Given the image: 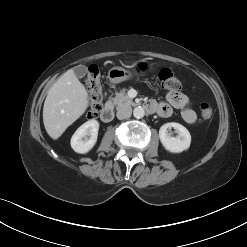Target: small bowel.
Instances as JSON below:
<instances>
[{
  "instance_id": "c3829d8e",
  "label": "small bowel",
  "mask_w": 247,
  "mask_h": 247,
  "mask_svg": "<svg viewBox=\"0 0 247 247\" xmlns=\"http://www.w3.org/2000/svg\"><path fill=\"white\" fill-rule=\"evenodd\" d=\"M150 102L156 106L155 112L163 118L171 116L174 109H179L186 123L193 124L197 120V115L191 107L189 97L183 93L170 92L166 95L165 101L160 103Z\"/></svg>"
}]
</instances>
